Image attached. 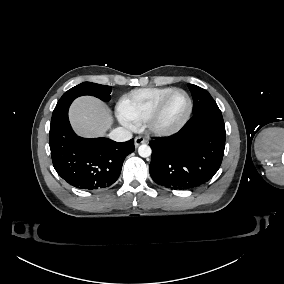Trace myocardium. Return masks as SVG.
Returning a JSON list of instances; mask_svg holds the SVG:
<instances>
[{
    "instance_id": "f54148a6",
    "label": "myocardium",
    "mask_w": 284,
    "mask_h": 284,
    "mask_svg": "<svg viewBox=\"0 0 284 284\" xmlns=\"http://www.w3.org/2000/svg\"><path fill=\"white\" fill-rule=\"evenodd\" d=\"M182 91L186 94L188 99V110L184 117V119L174 128L168 129V130H161L155 127V120L162 112L166 101L176 92ZM193 112V100L190 96V94L182 88H175L171 90L170 92L163 95L159 101L156 103V105L152 108V110L148 113L146 118L144 119V127L148 131L149 134L156 136V137H171L177 133H179L188 123L191 115Z\"/></svg>"
}]
</instances>
